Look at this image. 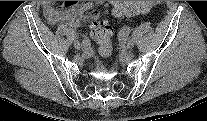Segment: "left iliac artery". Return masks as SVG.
Returning <instances> with one entry per match:
<instances>
[{"label": "left iliac artery", "mask_w": 207, "mask_h": 121, "mask_svg": "<svg viewBox=\"0 0 207 121\" xmlns=\"http://www.w3.org/2000/svg\"><path fill=\"white\" fill-rule=\"evenodd\" d=\"M130 32V29L127 26H124L122 30L118 33V38L121 42H127L128 41V34Z\"/></svg>", "instance_id": "obj_1"}]
</instances>
